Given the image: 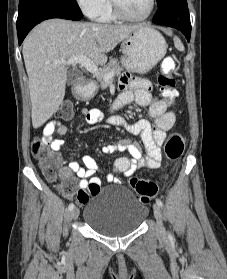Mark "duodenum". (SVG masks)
Listing matches in <instances>:
<instances>
[{"label": "duodenum", "instance_id": "duodenum-1", "mask_svg": "<svg viewBox=\"0 0 227 279\" xmlns=\"http://www.w3.org/2000/svg\"><path fill=\"white\" fill-rule=\"evenodd\" d=\"M85 89V80L84 78H79L77 84L74 86L73 93L74 97L78 100H87V97L84 95Z\"/></svg>", "mask_w": 227, "mask_h": 279}]
</instances>
